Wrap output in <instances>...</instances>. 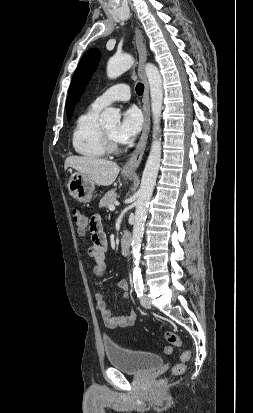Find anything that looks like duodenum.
Instances as JSON below:
<instances>
[{
	"instance_id": "obj_1",
	"label": "duodenum",
	"mask_w": 253,
	"mask_h": 413,
	"mask_svg": "<svg viewBox=\"0 0 253 413\" xmlns=\"http://www.w3.org/2000/svg\"><path fill=\"white\" fill-rule=\"evenodd\" d=\"M132 237L129 232H125L121 237V252L123 256H128L130 252Z\"/></svg>"
}]
</instances>
